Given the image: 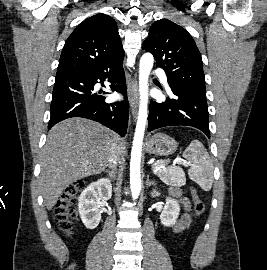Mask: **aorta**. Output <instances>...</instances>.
<instances>
[{
    "instance_id": "obj_1",
    "label": "aorta",
    "mask_w": 267,
    "mask_h": 270,
    "mask_svg": "<svg viewBox=\"0 0 267 270\" xmlns=\"http://www.w3.org/2000/svg\"><path fill=\"white\" fill-rule=\"evenodd\" d=\"M154 63V57L151 53H145L139 64V113L135 128L134 139L131 150L130 160V187L132 198L135 200L141 192V154L142 144L145 133L148 109V79Z\"/></svg>"
}]
</instances>
